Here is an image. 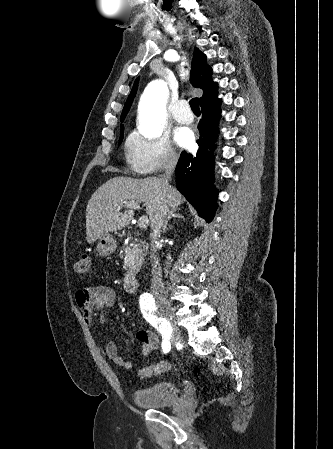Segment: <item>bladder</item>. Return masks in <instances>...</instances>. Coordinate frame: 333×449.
I'll use <instances>...</instances> for the list:
<instances>
[{"label":"bladder","mask_w":333,"mask_h":449,"mask_svg":"<svg viewBox=\"0 0 333 449\" xmlns=\"http://www.w3.org/2000/svg\"><path fill=\"white\" fill-rule=\"evenodd\" d=\"M180 396L181 390L177 384L163 381L136 389L133 399L138 407L157 409L173 406Z\"/></svg>","instance_id":"1"}]
</instances>
